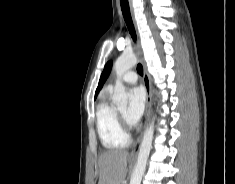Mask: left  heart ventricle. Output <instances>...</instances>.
I'll use <instances>...</instances> for the list:
<instances>
[{"label": "left heart ventricle", "mask_w": 235, "mask_h": 184, "mask_svg": "<svg viewBox=\"0 0 235 184\" xmlns=\"http://www.w3.org/2000/svg\"><path fill=\"white\" fill-rule=\"evenodd\" d=\"M120 114H122L123 116L127 115V108H123L121 110H119Z\"/></svg>", "instance_id": "obj_1"}]
</instances>
